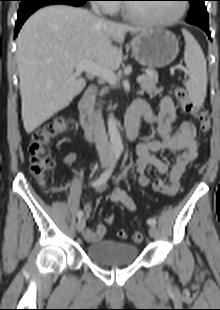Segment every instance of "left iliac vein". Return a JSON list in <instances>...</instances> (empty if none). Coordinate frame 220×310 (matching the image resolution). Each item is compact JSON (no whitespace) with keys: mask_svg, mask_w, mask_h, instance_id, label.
Returning a JSON list of instances; mask_svg holds the SVG:
<instances>
[{"mask_svg":"<svg viewBox=\"0 0 220 310\" xmlns=\"http://www.w3.org/2000/svg\"><path fill=\"white\" fill-rule=\"evenodd\" d=\"M149 235L152 238H155L157 236V228L155 225H151L149 228Z\"/></svg>","mask_w":220,"mask_h":310,"instance_id":"obj_1","label":"left iliac vein"}]
</instances>
